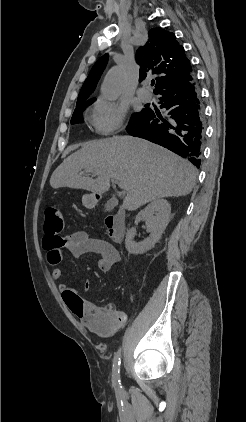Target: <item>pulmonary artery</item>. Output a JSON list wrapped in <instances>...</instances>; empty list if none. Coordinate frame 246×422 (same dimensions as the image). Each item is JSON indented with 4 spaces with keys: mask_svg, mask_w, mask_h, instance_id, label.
<instances>
[{
    "mask_svg": "<svg viewBox=\"0 0 246 422\" xmlns=\"http://www.w3.org/2000/svg\"><path fill=\"white\" fill-rule=\"evenodd\" d=\"M137 95L143 102H149L152 98L150 91L146 89L145 86H142L137 90Z\"/></svg>",
    "mask_w": 246,
    "mask_h": 422,
    "instance_id": "1",
    "label": "pulmonary artery"
}]
</instances>
